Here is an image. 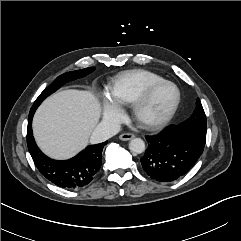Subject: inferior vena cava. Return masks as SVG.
Here are the masks:
<instances>
[{"instance_id": "obj_1", "label": "inferior vena cava", "mask_w": 241, "mask_h": 241, "mask_svg": "<svg viewBox=\"0 0 241 241\" xmlns=\"http://www.w3.org/2000/svg\"><path fill=\"white\" fill-rule=\"evenodd\" d=\"M120 131V125L110 122H100L90 136V142L97 144L108 140Z\"/></svg>"}]
</instances>
